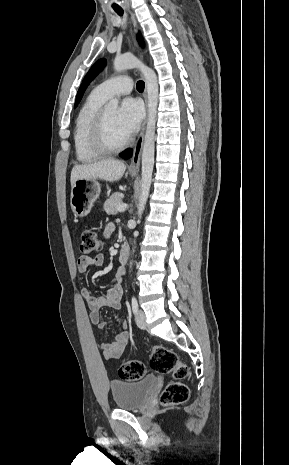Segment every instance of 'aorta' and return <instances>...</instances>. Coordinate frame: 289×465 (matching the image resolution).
Segmentation results:
<instances>
[{
    "mask_svg": "<svg viewBox=\"0 0 289 465\" xmlns=\"http://www.w3.org/2000/svg\"><path fill=\"white\" fill-rule=\"evenodd\" d=\"M137 68L141 71L146 88H147V101H148V120L144 137V145L142 152V173H141V195L138 204V217L141 219L145 205L149 196L152 172L154 166V152H155V130H156V118H157V106H158V80L156 73L146 65L142 64L133 55H121L114 59V69L117 72ZM109 107L117 108L118 100L111 99L109 101ZM139 222V220H138ZM134 236H138V232L134 233Z\"/></svg>",
    "mask_w": 289,
    "mask_h": 465,
    "instance_id": "obj_1",
    "label": "aorta"
}]
</instances>
